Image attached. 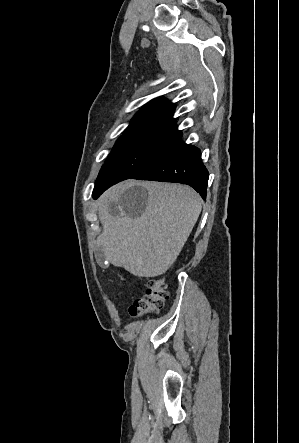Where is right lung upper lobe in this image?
Segmentation results:
<instances>
[{
  "instance_id": "obj_1",
  "label": "right lung upper lobe",
  "mask_w": 299,
  "mask_h": 443,
  "mask_svg": "<svg viewBox=\"0 0 299 443\" xmlns=\"http://www.w3.org/2000/svg\"><path fill=\"white\" fill-rule=\"evenodd\" d=\"M174 110L173 103L163 98H156L135 115L126 130L144 122L174 123Z\"/></svg>"
}]
</instances>
